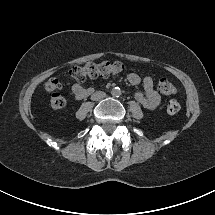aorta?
Returning <instances> with one entry per match:
<instances>
[{
  "label": "aorta",
  "instance_id": "762f6f07",
  "mask_svg": "<svg viewBox=\"0 0 215 215\" xmlns=\"http://www.w3.org/2000/svg\"><path fill=\"white\" fill-rule=\"evenodd\" d=\"M111 94H112L114 97H119V96L121 95V91H120V89H118V88H114V89H112Z\"/></svg>",
  "mask_w": 215,
  "mask_h": 215
}]
</instances>
